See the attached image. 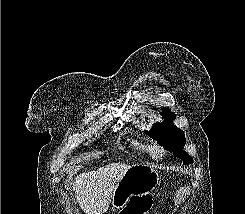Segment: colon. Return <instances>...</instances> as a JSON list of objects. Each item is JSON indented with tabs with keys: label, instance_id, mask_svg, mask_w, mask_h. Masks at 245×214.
I'll return each instance as SVG.
<instances>
[{
	"label": "colon",
	"instance_id": "obj_1",
	"mask_svg": "<svg viewBox=\"0 0 245 214\" xmlns=\"http://www.w3.org/2000/svg\"><path fill=\"white\" fill-rule=\"evenodd\" d=\"M151 207V200L147 198H134L120 214H146Z\"/></svg>",
	"mask_w": 245,
	"mask_h": 214
}]
</instances>
